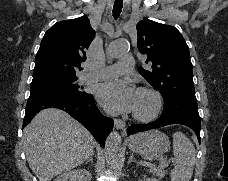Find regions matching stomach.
I'll return each mask as SVG.
<instances>
[{
  "label": "stomach",
  "instance_id": "obj_1",
  "mask_svg": "<svg viewBox=\"0 0 228 181\" xmlns=\"http://www.w3.org/2000/svg\"><path fill=\"white\" fill-rule=\"evenodd\" d=\"M129 147L134 153H140L144 159H160L170 149L168 137L160 131H148L131 137Z\"/></svg>",
  "mask_w": 228,
  "mask_h": 181
}]
</instances>
